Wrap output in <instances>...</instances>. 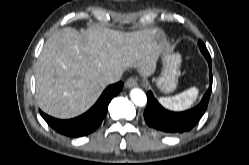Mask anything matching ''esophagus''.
<instances>
[{"mask_svg": "<svg viewBox=\"0 0 249 165\" xmlns=\"http://www.w3.org/2000/svg\"><path fill=\"white\" fill-rule=\"evenodd\" d=\"M136 85H137V81L133 77L128 78L125 82L126 88H132V87H135Z\"/></svg>", "mask_w": 249, "mask_h": 165, "instance_id": "esophagus-1", "label": "esophagus"}]
</instances>
